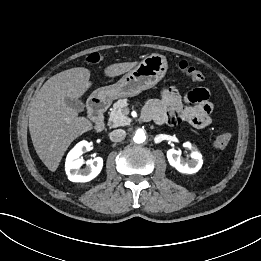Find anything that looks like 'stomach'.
Instances as JSON below:
<instances>
[{
  "mask_svg": "<svg viewBox=\"0 0 261 261\" xmlns=\"http://www.w3.org/2000/svg\"><path fill=\"white\" fill-rule=\"evenodd\" d=\"M167 68V60L163 55L151 54L125 73L117 83L95 90L92 97L102 101H112L136 96L154 87L165 76Z\"/></svg>",
  "mask_w": 261,
  "mask_h": 261,
  "instance_id": "stomach-1",
  "label": "stomach"
}]
</instances>
